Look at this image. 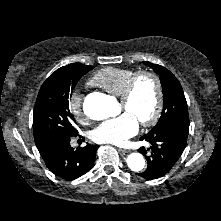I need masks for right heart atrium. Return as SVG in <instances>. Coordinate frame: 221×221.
Masks as SVG:
<instances>
[{"mask_svg":"<svg viewBox=\"0 0 221 221\" xmlns=\"http://www.w3.org/2000/svg\"><path fill=\"white\" fill-rule=\"evenodd\" d=\"M69 110L79 123H86L88 116L83 109V96L78 89H74L68 99Z\"/></svg>","mask_w":221,"mask_h":221,"instance_id":"right-heart-atrium-1","label":"right heart atrium"}]
</instances>
